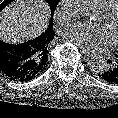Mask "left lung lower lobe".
I'll list each match as a JSON object with an SVG mask.
<instances>
[{
  "label": "left lung lower lobe",
  "mask_w": 118,
  "mask_h": 118,
  "mask_svg": "<svg viewBox=\"0 0 118 118\" xmlns=\"http://www.w3.org/2000/svg\"><path fill=\"white\" fill-rule=\"evenodd\" d=\"M107 63H109V66L104 72L98 74L99 77L108 83L118 84V54H115Z\"/></svg>",
  "instance_id": "obj_1"
}]
</instances>
